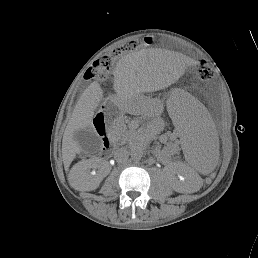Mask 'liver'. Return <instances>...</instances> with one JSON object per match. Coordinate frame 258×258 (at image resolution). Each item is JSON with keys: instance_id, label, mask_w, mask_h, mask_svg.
Returning a JSON list of instances; mask_svg holds the SVG:
<instances>
[{"instance_id": "6515ba94", "label": "liver", "mask_w": 258, "mask_h": 258, "mask_svg": "<svg viewBox=\"0 0 258 258\" xmlns=\"http://www.w3.org/2000/svg\"><path fill=\"white\" fill-rule=\"evenodd\" d=\"M125 62L128 64L127 67H123ZM162 69V66L158 63L140 59L139 54H133L129 58L122 60L116 68L113 85L117 96L121 100H127L133 91L134 82L139 76L167 75ZM102 98L103 90L100 84L93 82L84 90L78 100L62 139V159L66 169L69 168L76 154L82 151L78 142L74 140L75 132L91 125L94 111ZM75 170H77V165L69 173L68 181L70 185L79 191L90 190L93 184L84 178L75 177L73 174Z\"/></svg>"}]
</instances>
